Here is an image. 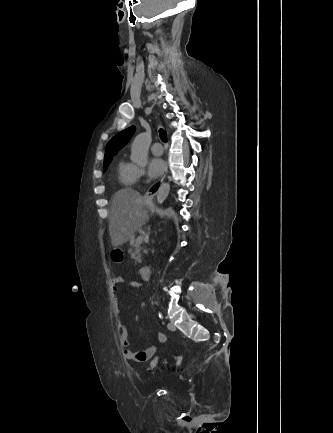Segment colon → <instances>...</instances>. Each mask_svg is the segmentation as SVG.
Here are the masks:
<instances>
[{"mask_svg": "<svg viewBox=\"0 0 333 433\" xmlns=\"http://www.w3.org/2000/svg\"><path fill=\"white\" fill-rule=\"evenodd\" d=\"M112 257H113V263L114 265H123L124 263V258H123V250L122 249H113L112 250ZM161 358L157 357L155 358L151 364L150 367L153 368L155 367L159 362H160Z\"/></svg>", "mask_w": 333, "mask_h": 433, "instance_id": "1", "label": "colon"}]
</instances>
